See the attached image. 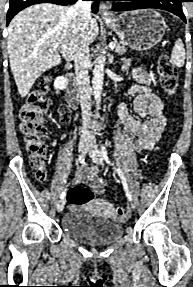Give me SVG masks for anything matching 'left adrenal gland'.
Segmentation results:
<instances>
[{
	"label": "left adrenal gland",
	"instance_id": "1",
	"mask_svg": "<svg viewBox=\"0 0 193 287\" xmlns=\"http://www.w3.org/2000/svg\"><path fill=\"white\" fill-rule=\"evenodd\" d=\"M113 60H114V57H113V55H112V56H111V59H110V62L113 63ZM113 64H115V63H113Z\"/></svg>",
	"mask_w": 193,
	"mask_h": 287
}]
</instances>
